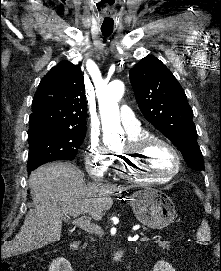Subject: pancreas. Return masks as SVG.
<instances>
[{
    "mask_svg": "<svg viewBox=\"0 0 221 271\" xmlns=\"http://www.w3.org/2000/svg\"><path fill=\"white\" fill-rule=\"evenodd\" d=\"M153 243L156 247H173V242H168L167 239H154ZM91 247H95V245H91Z\"/></svg>",
    "mask_w": 221,
    "mask_h": 271,
    "instance_id": "cf45deb5",
    "label": "pancreas"
}]
</instances>
